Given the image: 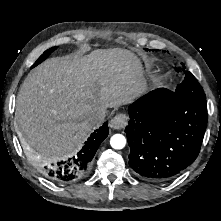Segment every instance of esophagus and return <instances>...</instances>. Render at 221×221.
I'll use <instances>...</instances> for the list:
<instances>
[{
    "label": "esophagus",
    "mask_w": 221,
    "mask_h": 221,
    "mask_svg": "<svg viewBox=\"0 0 221 221\" xmlns=\"http://www.w3.org/2000/svg\"><path fill=\"white\" fill-rule=\"evenodd\" d=\"M128 124V116L124 113H118L110 121V127L113 129H123Z\"/></svg>",
    "instance_id": "obj_1"
}]
</instances>
